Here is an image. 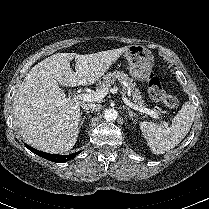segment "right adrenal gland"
Instances as JSON below:
<instances>
[{
  "label": "right adrenal gland",
  "mask_w": 209,
  "mask_h": 209,
  "mask_svg": "<svg viewBox=\"0 0 209 209\" xmlns=\"http://www.w3.org/2000/svg\"><path fill=\"white\" fill-rule=\"evenodd\" d=\"M85 113L88 114L89 111H85ZM82 114H83V112L80 113V119H79V120H80L81 122H80L79 128H81V126L83 125L84 120H85V118H86L85 116L82 118V116H81Z\"/></svg>",
  "instance_id": "2a0ac1e0"
}]
</instances>
